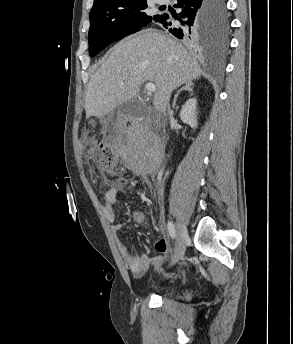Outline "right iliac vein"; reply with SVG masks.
Here are the masks:
<instances>
[{"label": "right iliac vein", "instance_id": "63e3f726", "mask_svg": "<svg viewBox=\"0 0 293 344\" xmlns=\"http://www.w3.org/2000/svg\"><path fill=\"white\" fill-rule=\"evenodd\" d=\"M188 238V233L186 227L179 223L177 225V244L174 257L172 259V264L178 262L184 255L186 250V240Z\"/></svg>", "mask_w": 293, "mask_h": 344}]
</instances>
